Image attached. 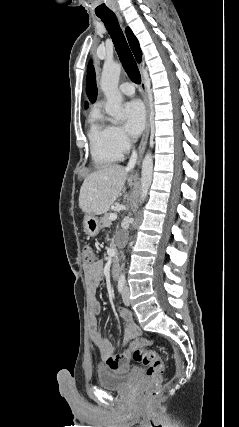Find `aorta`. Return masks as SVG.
<instances>
[{
  "mask_svg": "<svg viewBox=\"0 0 239 427\" xmlns=\"http://www.w3.org/2000/svg\"><path fill=\"white\" fill-rule=\"evenodd\" d=\"M121 65L118 63H105L102 70L100 87L107 99L105 111L110 115L114 123H119L124 119L122 107V95L118 90ZM153 176V157L148 152L142 162L141 172V194L140 203H143L148 195V191Z\"/></svg>",
  "mask_w": 239,
  "mask_h": 427,
  "instance_id": "aorta-1",
  "label": "aorta"
}]
</instances>
